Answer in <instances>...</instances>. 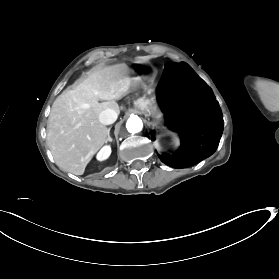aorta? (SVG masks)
I'll return each instance as SVG.
<instances>
[{
    "instance_id": "aorta-1",
    "label": "aorta",
    "mask_w": 279,
    "mask_h": 279,
    "mask_svg": "<svg viewBox=\"0 0 279 279\" xmlns=\"http://www.w3.org/2000/svg\"><path fill=\"white\" fill-rule=\"evenodd\" d=\"M126 128H127L128 132H130L132 134L138 133L143 128L142 120L138 116L130 117L127 120Z\"/></svg>"
}]
</instances>
